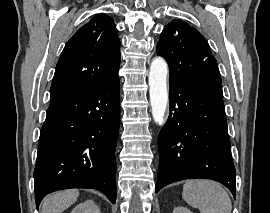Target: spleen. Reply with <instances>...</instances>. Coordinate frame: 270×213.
I'll return each instance as SVG.
<instances>
[{
  "instance_id": "1",
  "label": "spleen",
  "mask_w": 270,
  "mask_h": 213,
  "mask_svg": "<svg viewBox=\"0 0 270 213\" xmlns=\"http://www.w3.org/2000/svg\"><path fill=\"white\" fill-rule=\"evenodd\" d=\"M182 197L201 213H231L232 210L229 194L218 182L212 180H187Z\"/></svg>"
}]
</instances>
